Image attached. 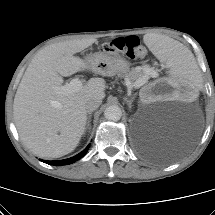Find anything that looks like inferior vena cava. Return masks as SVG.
<instances>
[{
    "mask_svg": "<svg viewBox=\"0 0 215 215\" xmlns=\"http://www.w3.org/2000/svg\"><path fill=\"white\" fill-rule=\"evenodd\" d=\"M101 102L102 101L98 98L89 99L85 104L86 111L90 113V112L96 110L100 106Z\"/></svg>",
    "mask_w": 215,
    "mask_h": 215,
    "instance_id": "1",
    "label": "inferior vena cava"
}]
</instances>
